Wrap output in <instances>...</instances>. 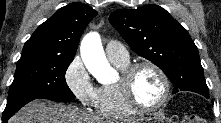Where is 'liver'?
<instances>
[{
	"label": "liver",
	"instance_id": "1",
	"mask_svg": "<svg viewBox=\"0 0 221 123\" xmlns=\"http://www.w3.org/2000/svg\"><path fill=\"white\" fill-rule=\"evenodd\" d=\"M118 121L114 119L104 121L103 118L75 107L35 100L24 106L9 123H118Z\"/></svg>",
	"mask_w": 221,
	"mask_h": 123
}]
</instances>
